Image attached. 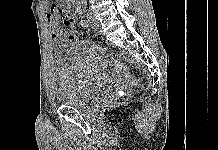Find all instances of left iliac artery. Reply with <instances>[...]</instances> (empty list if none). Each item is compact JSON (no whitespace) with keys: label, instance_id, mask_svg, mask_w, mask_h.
Instances as JSON below:
<instances>
[{"label":"left iliac artery","instance_id":"1","mask_svg":"<svg viewBox=\"0 0 218 150\" xmlns=\"http://www.w3.org/2000/svg\"><path fill=\"white\" fill-rule=\"evenodd\" d=\"M82 19L84 20V21H83V24H84V25H88L89 20L87 19V16H86V15H83V16H82ZM86 19H87V20H86Z\"/></svg>","mask_w":218,"mask_h":150}]
</instances>
